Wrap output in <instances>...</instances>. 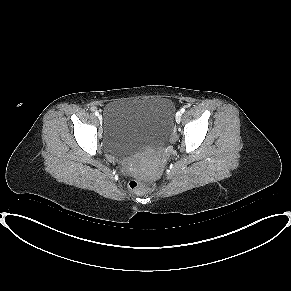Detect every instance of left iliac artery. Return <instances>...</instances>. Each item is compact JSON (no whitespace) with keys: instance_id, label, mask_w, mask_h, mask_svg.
<instances>
[{"instance_id":"44dca946","label":"left iliac artery","mask_w":291,"mask_h":291,"mask_svg":"<svg viewBox=\"0 0 291 291\" xmlns=\"http://www.w3.org/2000/svg\"><path fill=\"white\" fill-rule=\"evenodd\" d=\"M180 112L184 113L185 112V108H181Z\"/></svg>"}]
</instances>
